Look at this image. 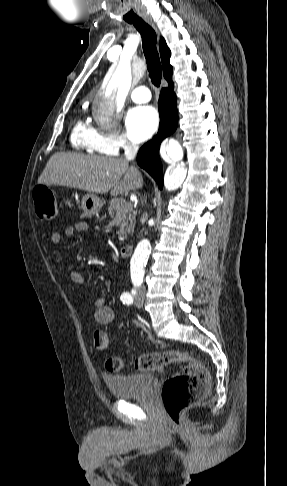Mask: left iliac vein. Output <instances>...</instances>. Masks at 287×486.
<instances>
[{
  "label": "left iliac vein",
  "mask_w": 287,
  "mask_h": 486,
  "mask_svg": "<svg viewBox=\"0 0 287 486\" xmlns=\"http://www.w3.org/2000/svg\"><path fill=\"white\" fill-rule=\"evenodd\" d=\"M134 303L135 305L138 307V308H141L143 306V303H144V292H141L139 293L135 299H134Z\"/></svg>",
  "instance_id": "4c4485c4"
}]
</instances>
